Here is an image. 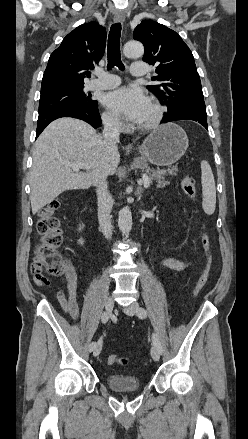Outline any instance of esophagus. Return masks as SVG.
Masks as SVG:
<instances>
[{"label": "esophagus", "instance_id": "1", "mask_svg": "<svg viewBox=\"0 0 248 439\" xmlns=\"http://www.w3.org/2000/svg\"><path fill=\"white\" fill-rule=\"evenodd\" d=\"M114 21H115V22L124 23V21H125V15H124V13H123L122 10H117V11L115 12V15H114ZM131 146H132L131 144H128V147H131Z\"/></svg>", "mask_w": 248, "mask_h": 439}]
</instances>
